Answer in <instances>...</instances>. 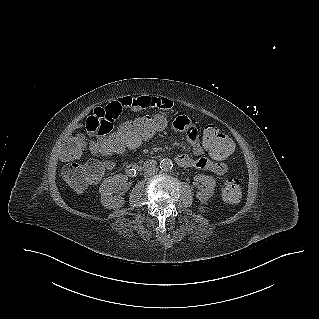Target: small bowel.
<instances>
[{"mask_svg":"<svg viewBox=\"0 0 319 319\" xmlns=\"http://www.w3.org/2000/svg\"><path fill=\"white\" fill-rule=\"evenodd\" d=\"M172 101L161 97H123L120 99H104L103 104L99 105L92 116L84 120L86 133L92 138H99L103 134H110L115 129V122L121 119L126 108L142 110L146 108L170 109ZM79 124L76 128H80ZM171 129L177 135H186L192 148L195 158L186 154H178L176 161L184 167L196 168L200 170H210L217 175H224L227 166L219 161H213L204 157L206 151L204 141L206 136L213 130H208L203 141L200 140L197 131V122L192 121L191 115H174L171 122ZM70 137L67 142L71 139ZM88 148L84 151L86 152Z\"/></svg>","mask_w":319,"mask_h":319,"instance_id":"c3829d8e","label":"small bowel"}]
</instances>
